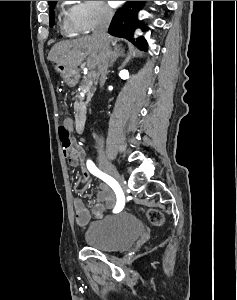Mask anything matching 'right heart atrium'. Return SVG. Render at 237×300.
I'll list each match as a JSON object with an SVG mask.
<instances>
[{"instance_id":"d8ad5b80","label":"right heart atrium","mask_w":237,"mask_h":300,"mask_svg":"<svg viewBox=\"0 0 237 300\" xmlns=\"http://www.w3.org/2000/svg\"><path fill=\"white\" fill-rule=\"evenodd\" d=\"M68 17L75 33L87 34L109 24L114 12L105 1H75L68 8Z\"/></svg>"}]
</instances>
